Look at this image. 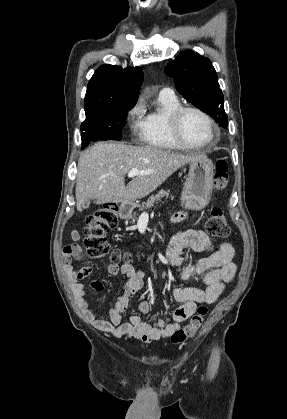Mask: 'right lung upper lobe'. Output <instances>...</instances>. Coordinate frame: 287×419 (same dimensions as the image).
<instances>
[{
  "label": "right lung upper lobe",
  "mask_w": 287,
  "mask_h": 419,
  "mask_svg": "<svg viewBox=\"0 0 287 419\" xmlns=\"http://www.w3.org/2000/svg\"><path fill=\"white\" fill-rule=\"evenodd\" d=\"M142 81L143 72L139 67L122 69L109 64L99 67L88 83L84 100L85 113L135 104Z\"/></svg>",
  "instance_id": "1"
}]
</instances>
